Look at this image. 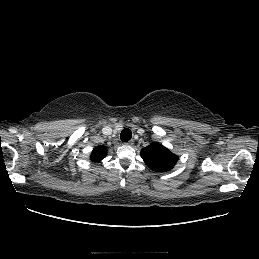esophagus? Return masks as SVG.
<instances>
[{"instance_id":"1","label":"esophagus","mask_w":259,"mask_h":259,"mask_svg":"<svg viewBox=\"0 0 259 259\" xmlns=\"http://www.w3.org/2000/svg\"><path fill=\"white\" fill-rule=\"evenodd\" d=\"M126 144L129 145V146H132V145L134 144V141H133V140H130V141H128Z\"/></svg>"}]
</instances>
